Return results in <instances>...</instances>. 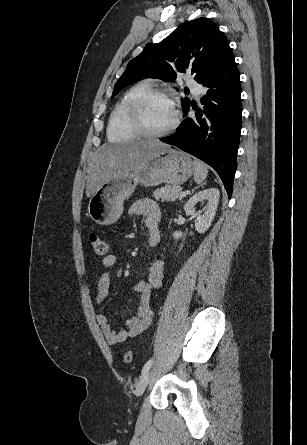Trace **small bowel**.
Wrapping results in <instances>:
<instances>
[{
    "label": "small bowel",
    "mask_w": 307,
    "mask_h": 445,
    "mask_svg": "<svg viewBox=\"0 0 307 445\" xmlns=\"http://www.w3.org/2000/svg\"><path fill=\"white\" fill-rule=\"evenodd\" d=\"M132 216H142L148 231V244L155 247L160 240L161 213L158 204L151 199H140L129 208ZM116 261L114 255L105 256L102 260L105 270L97 278L95 301L98 305L103 304L109 295L111 276L108 268ZM163 262L156 259L149 270L148 279L140 281L134 286L137 296V310L135 315L126 321L125 328L116 331L107 316L97 315V322L106 338L108 344L123 343L129 338L136 337L144 331L151 323L153 312L150 306V295L152 290L159 288L163 280Z\"/></svg>",
    "instance_id": "small-bowel-1"
}]
</instances>
